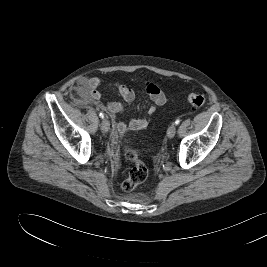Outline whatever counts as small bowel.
<instances>
[{
  "label": "small bowel",
  "instance_id": "small-bowel-1",
  "mask_svg": "<svg viewBox=\"0 0 267 267\" xmlns=\"http://www.w3.org/2000/svg\"><path fill=\"white\" fill-rule=\"evenodd\" d=\"M99 86L100 79L97 77H92L89 79H80L77 82L75 90L85 100L94 103L109 113L119 134H124L128 130L139 131L148 127L149 123L146 119L134 118L127 123L119 120L118 115L124 111V106L121 103L113 101L102 102V95L98 91ZM118 91L126 103H131L135 100V91L130 86L119 84ZM145 91L153 102V105L147 110L149 115L155 114L158 107L166 105L169 101L165 93L154 83H145Z\"/></svg>",
  "mask_w": 267,
  "mask_h": 267
}]
</instances>
